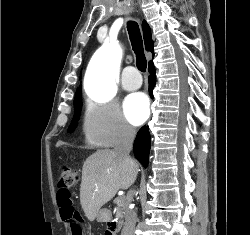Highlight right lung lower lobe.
Listing matches in <instances>:
<instances>
[{
	"label": "right lung lower lobe",
	"instance_id": "98d812e1",
	"mask_svg": "<svg viewBox=\"0 0 250 235\" xmlns=\"http://www.w3.org/2000/svg\"><path fill=\"white\" fill-rule=\"evenodd\" d=\"M148 71L149 76V92L152 96V90L156 83L155 77V67L153 62H149ZM151 138L150 133L146 126H143L137 134V137L134 142V154L137 160L146 168L148 166V156L150 152Z\"/></svg>",
	"mask_w": 250,
	"mask_h": 235
}]
</instances>
